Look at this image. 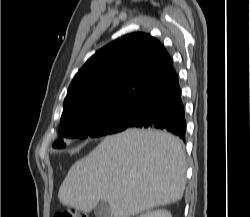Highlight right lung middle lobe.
<instances>
[{
	"label": "right lung middle lobe",
	"instance_id": "right-lung-middle-lobe-1",
	"mask_svg": "<svg viewBox=\"0 0 250 217\" xmlns=\"http://www.w3.org/2000/svg\"><path fill=\"white\" fill-rule=\"evenodd\" d=\"M137 107V100L117 102L78 113L60 122V140L55 148H64L65 139L97 138L125 130Z\"/></svg>",
	"mask_w": 250,
	"mask_h": 217
}]
</instances>
